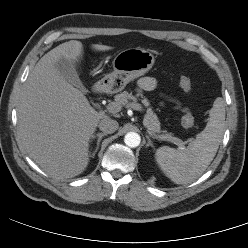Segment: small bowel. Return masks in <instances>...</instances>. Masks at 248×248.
<instances>
[{
  "label": "small bowel",
  "instance_id": "obj_1",
  "mask_svg": "<svg viewBox=\"0 0 248 248\" xmlns=\"http://www.w3.org/2000/svg\"><path fill=\"white\" fill-rule=\"evenodd\" d=\"M156 85V79L150 76L142 77L137 82V88L139 92L151 91L155 89ZM177 104L180 106L179 103Z\"/></svg>",
  "mask_w": 248,
  "mask_h": 248
}]
</instances>
